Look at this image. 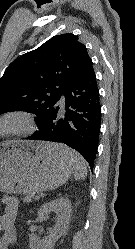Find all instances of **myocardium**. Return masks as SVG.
Wrapping results in <instances>:
<instances>
[{
  "label": "myocardium",
  "mask_w": 135,
  "mask_h": 249,
  "mask_svg": "<svg viewBox=\"0 0 135 249\" xmlns=\"http://www.w3.org/2000/svg\"><path fill=\"white\" fill-rule=\"evenodd\" d=\"M35 129V119L27 111L10 110L0 114V139L27 136Z\"/></svg>",
  "instance_id": "f54148a6"
}]
</instances>
